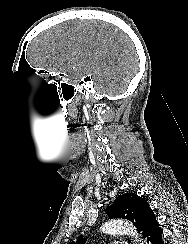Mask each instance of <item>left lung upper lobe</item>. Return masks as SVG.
<instances>
[{"mask_svg":"<svg viewBox=\"0 0 188 244\" xmlns=\"http://www.w3.org/2000/svg\"><path fill=\"white\" fill-rule=\"evenodd\" d=\"M109 218H124L130 220L137 230L142 233L146 218L150 212L148 201L135 193H125L118 196L113 204L106 209ZM85 239L81 236L77 242L70 244H84Z\"/></svg>","mask_w":188,"mask_h":244,"instance_id":"1","label":"left lung upper lobe"}]
</instances>
